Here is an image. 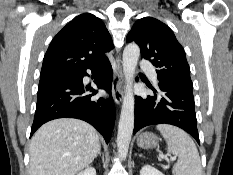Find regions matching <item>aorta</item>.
<instances>
[{"label":"aorta","mask_w":233,"mask_h":175,"mask_svg":"<svg viewBox=\"0 0 233 175\" xmlns=\"http://www.w3.org/2000/svg\"><path fill=\"white\" fill-rule=\"evenodd\" d=\"M139 56L140 48L135 43H129L123 51L122 64L126 81V91L123 98L117 134V151L121 159H125L127 157L134 129L135 101L132 84Z\"/></svg>","instance_id":"aorta-1"}]
</instances>
